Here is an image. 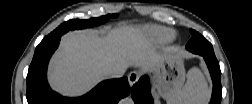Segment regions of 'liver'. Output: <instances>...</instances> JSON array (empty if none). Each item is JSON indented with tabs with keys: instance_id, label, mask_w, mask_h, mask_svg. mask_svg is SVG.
<instances>
[{
	"instance_id": "obj_1",
	"label": "liver",
	"mask_w": 252,
	"mask_h": 104,
	"mask_svg": "<svg viewBox=\"0 0 252 104\" xmlns=\"http://www.w3.org/2000/svg\"><path fill=\"white\" fill-rule=\"evenodd\" d=\"M161 58L144 34L132 26L124 25L102 36L90 29L74 31L62 37L48 79L54 90L76 96L103 80L109 68L136 66L153 71Z\"/></svg>"
}]
</instances>
